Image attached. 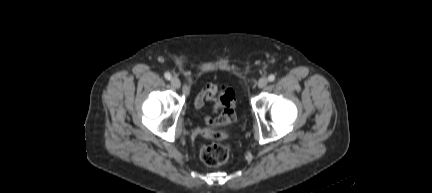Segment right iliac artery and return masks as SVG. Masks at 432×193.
I'll use <instances>...</instances> for the list:
<instances>
[{
  "label": "right iliac artery",
  "mask_w": 432,
  "mask_h": 193,
  "mask_svg": "<svg viewBox=\"0 0 432 193\" xmlns=\"http://www.w3.org/2000/svg\"><path fill=\"white\" fill-rule=\"evenodd\" d=\"M164 76H165V78H166L167 80H170V79H171V74H170L169 72H166V73L164 74Z\"/></svg>",
  "instance_id": "right-iliac-artery-1"
}]
</instances>
